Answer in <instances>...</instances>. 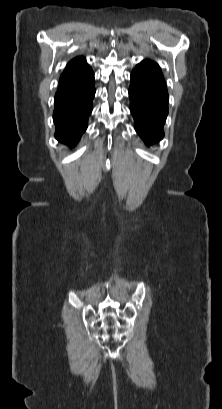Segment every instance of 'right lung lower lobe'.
<instances>
[{
  "label": "right lung lower lobe",
  "mask_w": 222,
  "mask_h": 409,
  "mask_svg": "<svg viewBox=\"0 0 222 409\" xmlns=\"http://www.w3.org/2000/svg\"><path fill=\"white\" fill-rule=\"evenodd\" d=\"M60 81L71 85L70 89L57 91L53 120L55 137L61 143L74 146L87 128L95 95L94 73L62 74Z\"/></svg>",
  "instance_id": "obj_1"
}]
</instances>
